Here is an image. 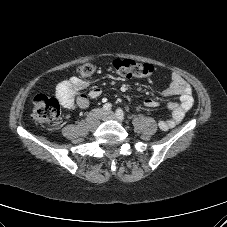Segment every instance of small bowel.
<instances>
[{"label": "small bowel", "mask_w": 227, "mask_h": 227, "mask_svg": "<svg viewBox=\"0 0 227 227\" xmlns=\"http://www.w3.org/2000/svg\"><path fill=\"white\" fill-rule=\"evenodd\" d=\"M89 86V83L73 76L68 80L60 82L56 87V95L61 105L68 109L88 108L91 99L98 98L102 91L100 88H93L88 94L81 92ZM165 96H179V101H170L168 108L171 111L169 119L161 121L159 126L162 130H168L179 124L186 112L193 105L192 88L179 74H173L168 88L164 91ZM158 105V100L149 98L144 102L145 109H151Z\"/></svg>", "instance_id": "1"}]
</instances>
